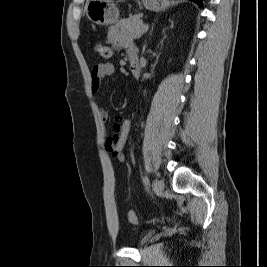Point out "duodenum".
<instances>
[{"label":"duodenum","instance_id":"obj_1","mask_svg":"<svg viewBox=\"0 0 267 267\" xmlns=\"http://www.w3.org/2000/svg\"><path fill=\"white\" fill-rule=\"evenodd\" d=\"M130 71L133 77L138 78L141 73L140 61L137 56L130 58Z\"/></svg>","mask_w":267,"mask_h":267}]
</instances>
